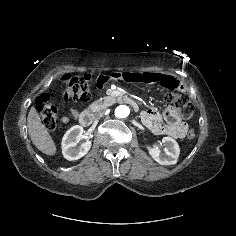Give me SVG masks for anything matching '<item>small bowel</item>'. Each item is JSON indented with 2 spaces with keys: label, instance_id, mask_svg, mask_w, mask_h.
<instances>
[{
  "label": "small bowel",
  "instance_id": "c3829d8e",
  "mask_svg": "<svg viewBox=\"0 0 236 236\" xmlns=\"http://www.w3.org/2000/svg\"><path fill=\"white\" fill-rule=\"evenodd\" d=\"M118 83H146L161 86L169 89H182L181 83L172 76L160 72H114L112 74L99 75L95 79V86L99 90H106L110 86V81ZM76 112L71 111L69 116H75ZM143 123L149 130L156 135H168L174 138H184L187 134L188 127L181 121L178 113L173 108H167L164 113L157 110H145L141 114Z\"/></svg>",
  "mask_w": 236,
  "mask_h": 236
}]
</instances>
